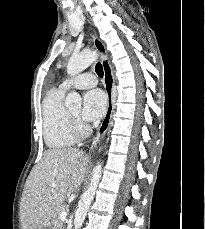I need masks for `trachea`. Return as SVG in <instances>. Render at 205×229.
<instances>
[{
	"mask_svg": "<svg viewBox=\"0 0 205 229\" xmlns=\"http://www.w3.org/2000/svg\"><path fill=\"white\" fill-rule=\"evenodd\" d=\"M95 71H96L97 75H98L100 78L103 77L104 72H103V67H102L101 63H97V64H96Z\"/></svg>",
	"mask_w": 205,
	"mask_h": 229,
	"instance_id": "trachea-1",
	"label": "trachea"
}]
</instances>
